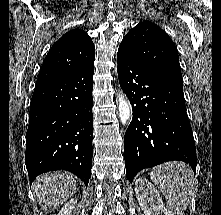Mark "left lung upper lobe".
<instances>
[{"instance_id":"left-lung-upper-lobe-1","label":"left lung upper lobe","mask_w":221,"mask_h":215,"mask_svg":"<svg viewBox=\"0 0 221 215\" xmlns=\"http://www.w3.org/2000/svg\"><path fill=\"white\" fill-rule=\"evenodd\" d=\"M119 49L140 65L183 86L177 49L156 24L140 22L124 37Z\"/></svg>"}]
</instances>
